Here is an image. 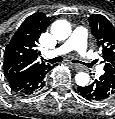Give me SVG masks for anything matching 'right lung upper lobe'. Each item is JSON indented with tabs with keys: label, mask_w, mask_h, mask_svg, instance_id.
Wrapping results in <instances>:
<instances>
[{
	"label": "right lung upper lobe",
	"mask_w": 115,
	"mask_h": 119,
	"mask_svg": "<svg viewBox=\"0 0 115 119\" xmlns=\"http://www.w3.org/2000/svg\"><path fill=\"white\" fill-rule=\"evenodd\" d=\"M50 19L44 13L37 12L27 17L18 28L4 53L3 69L8 81L49 66L38 60L41 55L38 39L50 24Z\"/></svg>",
	"instance_id": "1"
}]
</instances>
